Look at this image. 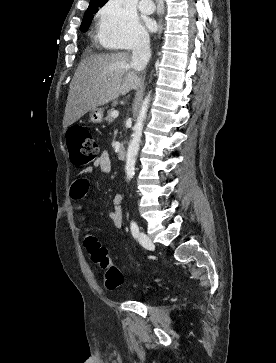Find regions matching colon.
<instances>
[{"mask_svg":"<svg viewBox=\"0 0 276 363\" xmlns=\"http://www.w3.org/2000/svg\"><path fill=\"white\" fill-rule=\"evenodd\" d=\"M66 143L71 161L75 166H84L97 160L99 145L91 133L84 127H71L66 133ZM84 245L91 261L105 270L104 284L108 289H116L124 282L122 272L115 267L105 247L93 234L85 236Z\"/></svg>","mask_w":276,"mask_h":363,"instance_id":"obj_1","label":"colon"}]
</instances>
